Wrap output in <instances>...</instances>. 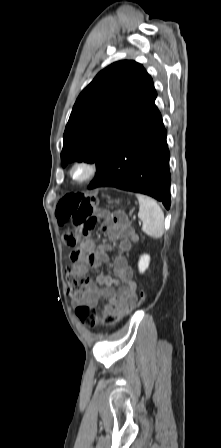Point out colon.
<instances>
[{"label":"colon","mask_w":221,"mask_h":448,"mask_svg":"<svg viewBox=\"0 0 221 448\" xmlns=\"http://www.w3.org/2000/svg\"><path fill=\"white\" fill-rule=\"evenodd\" d=\"M98 199L95 195H84L82 193H70L63 196L58 202L56 216L60 224L71 223L74 233L82 239L88 237L96 226V211ZM113 221L123 224L125 221L120 216H114ZM65 280L68 286L69 297L77 304L76 315L81 322L94 326L96 315L92 308L81 304L83 289L87 283V277L81 274L74 265H68L65 269ZM145 292L140 289L138 295L127 308V312H133L143 303ZM117 320L115 315H108L103 322L112 324Z\"/></svg>","instance_id":"colon-1"}]
</instances>
